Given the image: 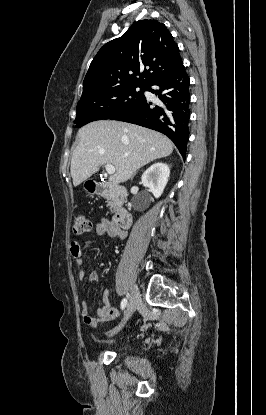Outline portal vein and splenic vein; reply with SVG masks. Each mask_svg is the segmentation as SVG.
Wrapping results in <instances>:
<instances>
[{
  "mask_svg": "<svg viewBox=\"0 0 266 415\" xmlns=\"http://www.w3.org/2000/svg\"><path fill=\"white\" fill-rule=\"evenodd\" d=\"M105 168L108 174L113 175L115 173V167L112 164L107 163Z\"/></svg>",
  "mask_w": 266,
  "mask_h": 415,
  "instance_id": "1",
  "label": "portal vein and splenic vein"
}]
</instances>
